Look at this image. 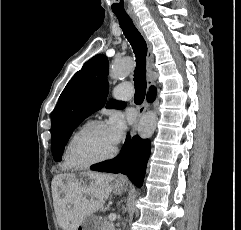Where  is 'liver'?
<instances>
[{
    "label": "liver",
    "instance_id": "1",
    "mask_svg": "<svg viewBox=\"0 0 241 230\" xmlns=\"http://www.w3.org/2000/svg\"><path fill=\"white\" fill-rule=\"evenodd\" d=\"M83 175L90 177L89 184L82 185L75 175L60 174L53 178V201L63 230H77L88 216L103 207L109 197L112 175L91 171Z\"/></svg>",
    "mask_w": 241,
    "mask_h": 230
}]
</instances>
